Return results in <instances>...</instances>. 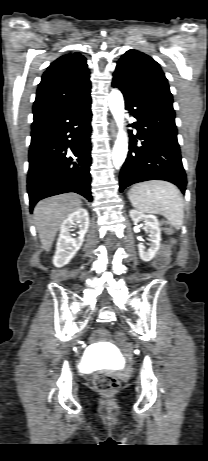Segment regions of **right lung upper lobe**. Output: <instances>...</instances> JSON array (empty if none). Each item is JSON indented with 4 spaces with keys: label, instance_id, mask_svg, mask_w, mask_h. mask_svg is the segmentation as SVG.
I'll list each match as a JSON object with an SVG mask.
<instances>
[{
    "label": "right lung upper lobe",
    "instance_id": "right-lung-upper-lobe-1",
    "mask_svg": "<svg viewBox=\"0 0 208 461\" xmlns=\"http://www.w3.org/2000/svg\"><path fill=\"white\" fill-rule=\"evenodd\" d=\"M90 90L86 58L79 52L59 57L46 69L38 85L34 119L84 102Z\"/></svg>",
    "mask_w": 208,
    "mask_h": 461
}]
</instances>
